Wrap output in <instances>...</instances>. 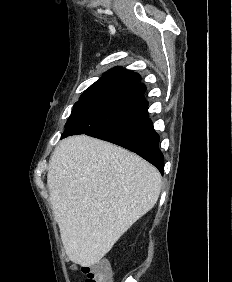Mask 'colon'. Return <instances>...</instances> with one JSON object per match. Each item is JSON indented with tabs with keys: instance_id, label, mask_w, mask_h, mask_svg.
<instances>
[{
	"instance_id": "1",
	"label": "colon",
	"mask_w": 232,
	"mask_h": 282,
	"mask_svg": "<svg viewBox=\"0 0 232 282\" xmlns=\"http://www.w3.org/2000/svg\"><path fill=\"white\" fill-rule=\"evenodd\" d=\"M81 271L85 275V282H113L112 269L106 259L82 265Z\"/></svg>"
}]
</instances>
